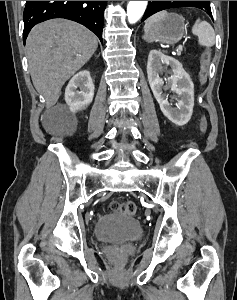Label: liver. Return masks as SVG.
<instances>
[{"label":"liver","mask_w":237,"mask_h":300,"mask_svg":"<svg viewBox=\"0 0 237 300\" xmlns=\"http://www.w3.org/2000/svg\"><path fill=\"white\" fill-rule=\"evenodd\" d=\"M98 47L97 37L73 21L52 19L31 29L27 59L33 85L47 107L56 105L61 89Z\"/></svg>","instance_id":"liver-1"}]
</instances>
